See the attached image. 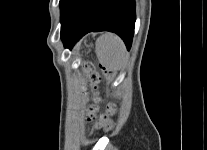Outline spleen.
Masks as SVG:
<instances>
[{"instance_id":"3e777b00","label":"spleen","mask_w":207,"mask_h":150,"mask_svg":"<svg viewBox=\"0 0 207 150\" xmlns=\"http://www.w3.org/2000/svg\"><path fill=\"white\" fill-rule=\"evenodd\" d=\"M96 54L103 66L112 71L122 68L126 58L123 41L113 33H105L96 41Z\"/></svg>"}]
</instances>
